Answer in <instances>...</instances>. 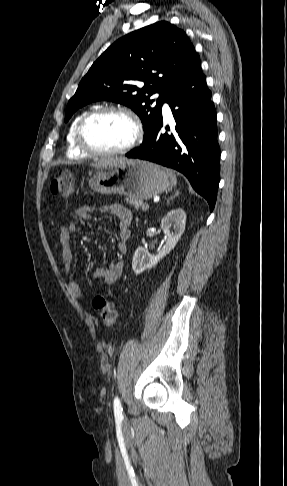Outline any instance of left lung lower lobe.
<instances>
[{
  "label": "left lung lower lobe",
  "instance_id": "obj_1",
  "mask_svg": "<svg viewBox=\"0 0 287 486\" xmlns=\"http://www.w3.org/2000/svg\"><path fill=\"white\" fill-rule=\"evenodd\" d=\"M164 102L172 110L176 127L162 132V116L145 134L143 143L126 154L183 173L194 190L215 206L220 173L216 110L200 60L167 90Z\"/></svg>",
  "mask_w": 287,
  "mask_h": 486
}]
</instances>
